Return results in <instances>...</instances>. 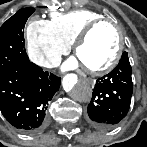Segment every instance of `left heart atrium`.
Masks as SVG:
<instances>
[{"mask_svg": "<svg viewBox=\"0 0 147 147\" xmlns=\"http://www.w3.org/2000/svg\"><path fill=\"white\" fill-rule=\"evenodd\" d=\"M78 65H79L78 61L75 58H71L65 62V64L63 65V68L65 70H69V69H74L78 67Z\"/></svg>", "mask_w": 147, "mask_h": 147, "instance_id": "39dd6f15", "label": "left heart atrium"}]
</instances>
